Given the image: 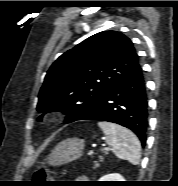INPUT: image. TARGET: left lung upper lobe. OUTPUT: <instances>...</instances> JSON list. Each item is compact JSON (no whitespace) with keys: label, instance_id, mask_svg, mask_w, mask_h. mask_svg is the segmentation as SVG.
I'll use <instances>...</instances> for the list:
<instances>
[{"label":"left lung upper lobe","instance_id":"5c2ea615","mask_svg":"<svg viewBox=\"0 0 178 186\" xmlns=\"http://www.w3.org/2000/svg\"><path fill=\"white\" fill-rule=\"evenodd\" d=\"M139 66L129 38L116 31L99 32L52 64L38 96L37 111H63L66 122H72Z\"/></svg>","mask_w":178,"mask_h":186}]
</instances>
